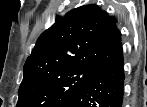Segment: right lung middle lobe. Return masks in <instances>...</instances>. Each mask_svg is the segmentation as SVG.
I'll use <instances>...</instances> for the list:
<instances>
[{
	"label": "right lung middle lobe",
	"mask_w": 147,
	"mask_h": 107,
	"mask_svg": "<svg viewBox=\"0 0 147 107\" xmlns=\"http://www.w3.org/2000/svg\"><path fill=\"white\" fill-rule=\"evenodd\" d=\"M97 70L79 66L24 76L17 107H61L90 81Z\"/></svg>",
	"instance_id": "1"
}]
</instances>
